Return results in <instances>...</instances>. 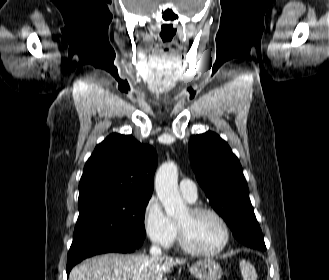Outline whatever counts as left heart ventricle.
Returning <instances> with one entry per match:
<instances>
[{
    "instance_id": "b2bd125f",
    "label": "left heart ventricle",
    "mask_w": 329,
    "mask_h": 280,
    "mask_svg": "<svg viewBox=\"0 0 329 280\" xmlns=\"http://www.w3.org/2000/svg\"><path fill=\"white\" fill-rule=\"evenodd\" d=\"M177 223L182 226L189 243L199 250H214L223 241L222 227L208 214L194 216L188 209Z\"/></svg>"
}]
</instances>
